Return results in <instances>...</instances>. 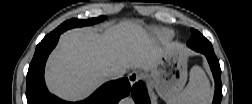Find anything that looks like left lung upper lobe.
I'll return each instance as SVG.
<instances>
[{"label":"left lung upper lobe","mask_w":252,"mask_h":104,"mask_svg":"<svg viewBox=\"0 0 252 104\" xmlns=\"http://www.w3.org/2000/svg\"><path fill=\"white\" fill-rule=\"evenodd\" d=\"M192 36L190 40L192 41L191 44H189V47L191 49L201 52V53H214L212 44L210 42H202L198 40V37H204L202 34H200L197 30L191 29Z\"/></svg>","instance_id":"obj_1"}]
</instances>
